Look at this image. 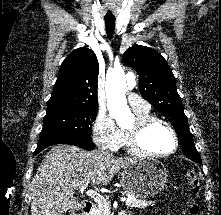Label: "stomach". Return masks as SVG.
<instances>
[{"label":"stomach","instance_id":"0dacf381","mask_svg":"<svg viewBox=\"0 0 221 215\" xmlns=\"http://www.w3.org/2000/svg\"><path fill=\"white\" fill-rule=\"evenodd\" d=\"M167 177V170L160 161L139 159L124 167L120 182L131 196L147 198L164 189Z\"/></svg>","mask_w":221,"mask_h":215}]
</instances>
